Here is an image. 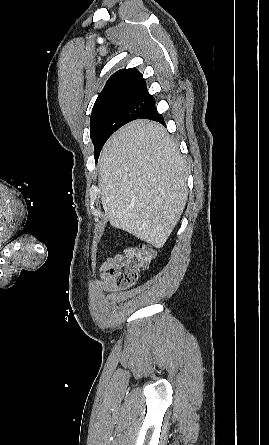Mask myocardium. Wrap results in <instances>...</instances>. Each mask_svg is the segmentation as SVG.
Here are the masks:
<instances>
[{
    "label": "myocardium",
    "instance_id": "obj_1",
    "mask_svg": "<svg viewBox=\"0 0 269 445\" xmlns=\"http://www.w3.org/2000/svg\"><path fill=\"white\" fill-rule=\"evenodd\" d=\"M11 235H12V234H8V235H6L4 238L0 239V243L5 242L8 238H10Z\"/></svg>",
    "mask_w": 269,
    "mask_h": 445
}]
</instances>
